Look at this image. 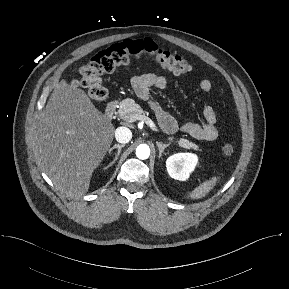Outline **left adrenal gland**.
<instances>
[{"mask_svg":"<svg viewBox=\"0 0 289 289\" xmlns=\"http://www.w3.org/2000/svg\"><path fill=\"white\" fill-rule=\"evenodd\" d=\"M156 145L159 148V158L162 156V154L164 153V150L169 147V144H164L162 142H156Z\"/></svg>","mask_w":289,"mask_h":289,"instance_id":"left-adrenal-gland-1","label":"left adrenal gland"}]
</instances>
